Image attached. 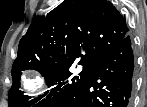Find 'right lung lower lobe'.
I'll use <instances>...</instances> for the list:
<instances>
[{"instance_id": "1", "label": "right lung lower lobe", "mask_w": 147, "mask_h": 107, "mask_svg": "<svg viewBox=\"0 0 147 107\" xmlns=\"http://www.w3.org/2000/svg\"><path fill=\"white\" fill-rule=\"evenodd\" d=\"M134 55L129 34L93 69L89 78L55 107H131Z\"/></svg>"}]
</instances>
